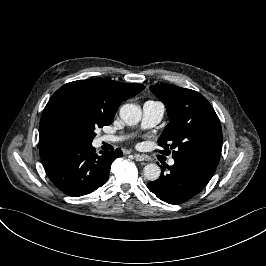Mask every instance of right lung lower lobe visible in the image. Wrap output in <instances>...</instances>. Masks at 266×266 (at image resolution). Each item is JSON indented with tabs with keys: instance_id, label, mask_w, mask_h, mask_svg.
Wrapping results in <instances>:
<instances>
[{
	"instance_id": "98d812e1",
	"label": "right lung lower lobe",
	"mask_w": 266,
	"mask_h": 266,
	"mask_svg": "<svg viewBox=\"0 0 266 266\" xmlns=\"http://www.w3.org/2000/svg\"><path fill=\"white\" fill-rule=\"evenodd\" d=\"M92 144H71L56 151L44 163L51 182L63 193L77 197L103 186L112 162L123 155L120 149L97 155Z\"/></svg>"
}]
</instances>
